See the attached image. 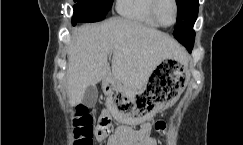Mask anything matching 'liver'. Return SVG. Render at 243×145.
Segmentation results:
<instances>
[{
    "label": "liver",
    "mask_w": 243,
    "mask_h": 145,
    "mask_svg": "<svg viewBox=\"0 0 243 145\" xmlns=\"http://www.w3.org/2000/svg\"><path fill=\"white\" fill-rule=\"evenodd\" d=\"M67 53L71 105L83 101L88 86L105 79L110 54L113 79L133 90H141L163 60L186 61L184 49L169 35L120 17L76 28Z\"/></svg>",
    "instance_id": "liver-1"
}]
</instances>
